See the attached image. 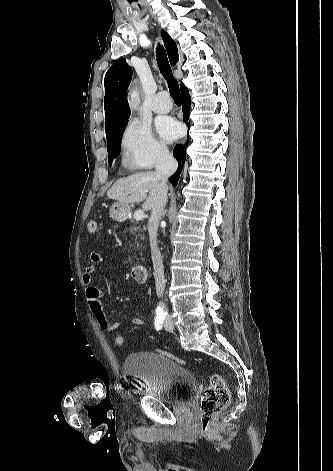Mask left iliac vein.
<instances>
[{
	"instance_id": "1",
	"label": "left iliac vein",
	"mask_w": 333,
	"mask_h": 471,
	"mask_svg": "<svg viewBox=\"0 0 333 471\" xmlns=\"http://www.w3.org/2000/svg\"><path fill=\"white\" fill-rule=\"evenodd\" d=\"M164 327L167 331H172L173 328H174V323L172 321V318L171 316H167L166 317V320H165V323H164Z\"/></svg>"
}]
</instances>
